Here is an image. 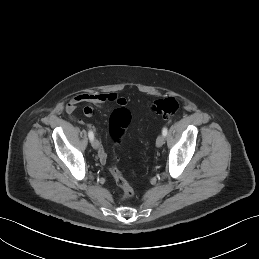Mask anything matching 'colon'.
Wrapping results in <instances>:
<instances>
[{
	"label": "colon",
	"instance_id": "5ec220e1",
	"mask_svg": "<svg viewBox=\"0 0 259 259\" xmlns=\"http://www.w3.org/2000/svg\"><path fill=\"white\" fill-rule=\"evenodd\" d=\"M178 110L179 103L173 97L159 99L155 101L152 105L153 113L162 116L165 119H168L171 116L175 115ZM131 119V113L125 107H119L111 113L108 122V134L111 141L115 145L121 143L125 131L131 123ZM115 162L116 157H113L112 161L109 164V170L121 190L120 198L122 200L130 199L134 194L133 187L124 178L120 170L117 168Z\"/></svg>",
	"mask_w": 259,
	"mask_h": 259
}]
</instances>
